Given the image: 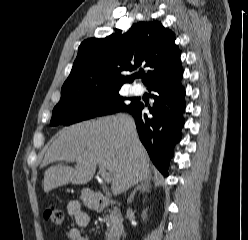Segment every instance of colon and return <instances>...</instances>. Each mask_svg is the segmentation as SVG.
Here are the masks:
<instances>
[{
  "mask_svg": "<svg viewBox=\"0 0 248 240\" xmlns=\"http://www.w3.org/2000/svg\"><path fill=\"white\" fill-rule=\"evenodd\" d=\"M44 218L54 225H61L64 220V214L61 209L49 206L44 211Z\"/></svg>",
  "mask_w": 248,
  "mask_h": 240,
  "instance_id": "obj_1",
  "label": "colon"
}]
</instances>
